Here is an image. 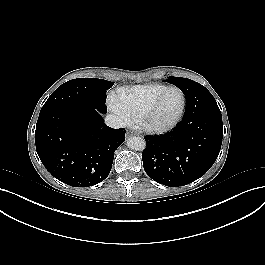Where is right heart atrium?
Here are the masks:
<instances>
[{
  "instance_id": "d8ad5b80",
  "label": "right heart atrium",
  "mask_w": 265,
  "mask_h": 265,
  "mask_svg": "<svg viewBox=\"0 0 265 265\" xmlns=\"http://www.w3.org/2000/svg\"><path fill=\"white\" fill-rule=\"evenodd\" d=\"M108 105H109V108L120 117L122 122L124 123L129 122L130 118L127 115V113L124 111V109L120 106L116 94L109 95Z\"/></svg>"
}]
</instances>
